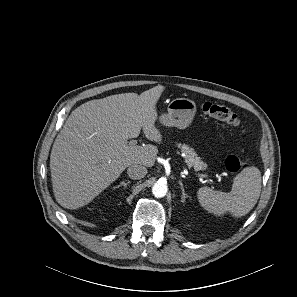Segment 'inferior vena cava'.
<instances>
[{"mask_svg": "<svg viewBox=\"0 0 297 297\" xmlns=\"http://www.w3.org/2000/svg\"><path fill=\"white\" fill-rule=\"evenodd\" d=\"M127 174L132 179H141L147 174V169L142 165H131L127 169Z\"/></svg>", "mask_w": 297, "mask_h": 297, "instance_id": "inferior-vena-cava-1", "label": "inferior vena cava"}]
</instances>
